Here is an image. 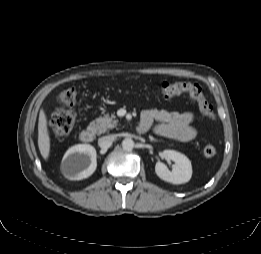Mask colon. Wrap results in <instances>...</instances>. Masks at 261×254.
Wrapping results in <instances>:
<instances>
[{
  "label": "colon",
  "mask_w": 261,
  "mask_h": 254,
  "mask_svg": "<svg viewBox=\"0 0 261 254\" xmlns=\"http://www.w3.org/2000/svg\"><path fill=\"white\" fill-rule=\"evenodd\" d=\"M181 94H185L194 101L207 119H214L215 112L212 104L205 98L200 85L185 81H163L160 85V96L169 99ZM78 95L77 87H69L62 90L58 95V107L50 119V125L54 133L58 136L68 135L75 124L76 115L72 110ZM206 157L211 158L217 154V149L213 145H207L203 149Z\"/></svg>",
  "instance_id": "colon-1"
}]
</instances>
